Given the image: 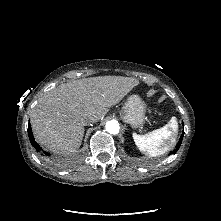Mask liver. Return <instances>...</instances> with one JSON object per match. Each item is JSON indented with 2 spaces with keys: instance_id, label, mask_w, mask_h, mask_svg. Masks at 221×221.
<instances>
[{
  "instance_id": "obj_1",
  "label": "liver",
  "mask_w": 221,
  "mask_h": 221,
  "mask_svg": "<svg viewBox=\"0 0 221 221\" xmlns=\"http://www.w3.org/2000/svg\"><path fill=\"white\" fill-rule=\"evenodd\" d=\"M138 84L132 77L99 76L51 89L31 114L30 123L37 142L55 153L75 152L84 134L83 119L99 121Z\"/></svg>"
}]
</instances>
